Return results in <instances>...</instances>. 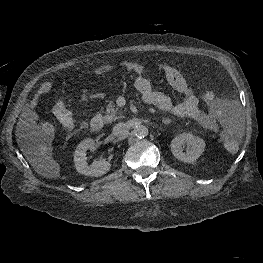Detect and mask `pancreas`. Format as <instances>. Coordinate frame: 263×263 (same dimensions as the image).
<instances>
[{"instance_id": "1", "label": "pancreas", "mask_w": 263, "mask_h": 263, "mask_svg": "<svg viewBox=\"0 0 263 263\" xmlns=\"http://www.w3.org/2000/svg\"><path fill=\"white\" fill-rule=\"evenodd\" d=\"M123 117L121 110L115 106L112 102L107 105V110L104 116V120L106 122H114L117 119H121Z\"/></svg>"}]
</instances>
